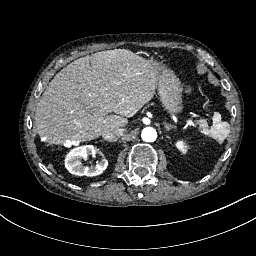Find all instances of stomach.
<instances>
[{"mask_svg":"<svg viewBox=\"0 0 256 256\" xmlns=\"http://www.w3.org/2000/svg\"><path fill=\"white\" fill-rule=\"evenodd\" d=\"M158 94L162 108L175 116L183 111L182 87L179 79L169 70L162 71L158 80Z\"/></svg>","mask_w":256,"mask_h":256,"instance_id":"obj_1","label":"stomach"}]
</instances>
